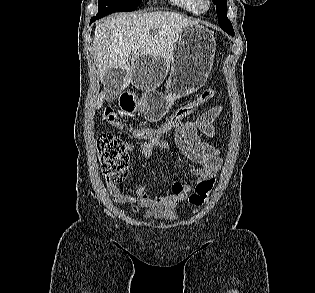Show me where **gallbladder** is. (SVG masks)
<instances>
[{
  "instance_id": "bac80fb5",
  "label": "gallbladder",
  "mask_w": 315,
  "mask_h": 293,
  "mask_svg": "<svg viewBox=\"0 0 315 293\" xmlns=\"http://www.w3.org/2000/svg\"><path fill=\"white\" fill-rule=\"evenodd\" d=\"M125 71L122 69L110 68L103 76V83L107 89L105 99L112 101L115 99V92L121 88L124 83Z\"/></svg>"
}]
</instances>
